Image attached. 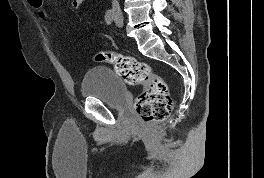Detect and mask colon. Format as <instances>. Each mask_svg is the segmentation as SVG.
<instances>
[{"instance_id": "5ec220e1", "label": "colon", "mask_w": 264, "mask_h": 178, "mask_svg": "<svg viewBox=\"0 0 264 178\" xmlns=\"http://www.w3.org/2000/svg\"><path fill=\"white\" fill-rule=\"evenodd\" d=\"M43 0H28L43 18L47 14L43 8ZM94 61L106 63L114 67L115 72L130 85H143L142 92L135 100V110L140 119L146 123L167 119L173 108V101L168 86L150 66L136 58L112 51H100L95 54Z\"/></svg>"}]
</instances>
